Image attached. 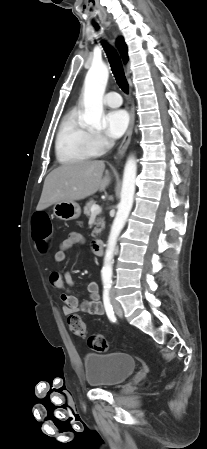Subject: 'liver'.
Segmentation results:
<instances>
[{"mask_svg":"<svg viewBox=\"0 0 207 449\" xmlns=\"http://www.w3.org/2000/svg\"><path fill=\"white\" fill-rule=\"evenodd\" d=\"M103 161H79L63 164L48 174L37 205L41 211L58 202L82 200L104 190L110 183Z\"/></svg>","mask_w":207,"mask_h":449,"instance_id":"6515ba94","label":"liver"}]
</instances>
